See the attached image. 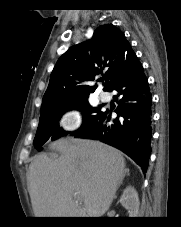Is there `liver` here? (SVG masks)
Returning a JSON list of instances; mask_svg holds the SVG:
<instances>
[{
    "label": "liver",
    "instance_id": "1",
    "mask_svg": "<svg viewBox=\"0 0 181 227\" xmlns=\"http://www.w3.org/2000/svg\"><path fill=\"white\" fill-rule=\"evenodd\" d=\"M50 147L60 153L58 158L40 154L29 166V193L36 217L104 215L124 178L122 153L99 141L75 138L59 139Z\"/></svg>",
    "mask_w": 181,
    "mask_h": 227
}]
</instances>
